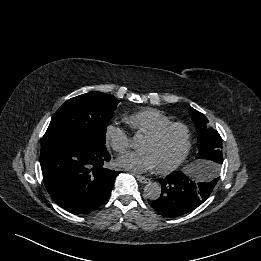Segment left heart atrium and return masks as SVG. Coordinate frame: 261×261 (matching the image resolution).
Here are the masks:
<instances>
[{"label": "left heart atrium", "instance_id": "left-heart-atrium-1", "mask_svg": "<svg viewBox=\"0 0 261 261\" xmlns=\"http://www.w3.org/2000/svg\"><path fill=\"white\" fill-rule=\"evenodd\" d=\"M119 166L140 173L156 167L153 156L148 151L132 152L118 159Z\"/></svg>", "mask_w": 261, "mask_h": 261}]
</instances>
